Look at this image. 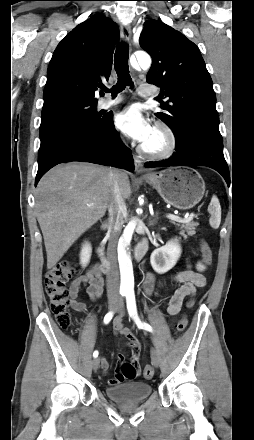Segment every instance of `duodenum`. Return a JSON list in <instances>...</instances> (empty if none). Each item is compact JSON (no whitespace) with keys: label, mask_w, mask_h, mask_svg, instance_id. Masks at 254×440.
Masks as SVG:
<instances>
[{"label":"duodenum","mask_w":254,"mask_h":440,"mask_svg":"<svg viewBox=\"0 0 254 440\" xmlns=\"http://www.w3.org/2000/svg\"><path fill=\"white\" fill-rule=\"evenodd\" d=\"M109 226L108 223H104L102 224V228L106 229ZM148 250V241L147 239H143L141 240L134 249V257L137 261H139L140 259H142V257L146 254ZM97 254L101 260V264L99 266V269L105 273L108 274L110 271V264L106 259V252H105V248L102 244H99L97 246Z\"/></svg>","instance_id":"410a0bca"}]
</instances>
